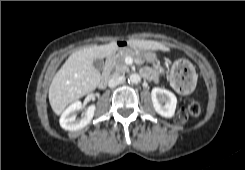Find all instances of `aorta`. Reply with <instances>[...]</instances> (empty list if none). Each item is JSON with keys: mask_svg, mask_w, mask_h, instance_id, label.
<instances>
[{"mask_svg": "<svg viewBox=\"0 0 245 170\" xmlns=\"http://www.w3.org/2000/svg\"><path fill=\"white\" fill-rule=\"evenodd\" d=\"M129 80L131 83L138 84L141 81V77L137 73H133L130 75Z\"/></svg>", "mask_w": 245, "mask_h": 170, "instance_id": "aorta-1", "label": "aorta"}]
</instances>
